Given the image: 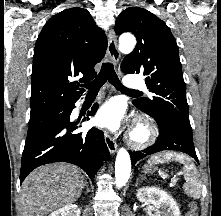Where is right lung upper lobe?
<instances>
[{
	"instance_id": "cb5924a9",
	"label": "right lung upper lobe",
	"mask_w": 221,
	"mask_h": 216,
	"mask_svg": "<svg viewBox=\"0 0 221 216\" xmlns=\"http://www.w3.org/2000/svg\"><path fill=\"white\" fill-rule=\"evenodd\" d=\"M106 47L101 28L86 9L75 7L54 15L35 45L30 115L78 100L84 92L79 82L96 76L94 66L104 57ZM77 76L83 77L73 81Z\"/></svg>"
}]
</instances>
